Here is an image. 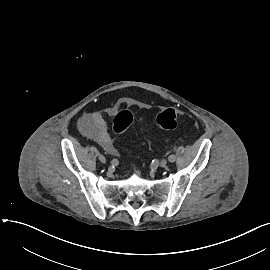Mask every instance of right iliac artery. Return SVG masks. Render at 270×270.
Returning <instances> with one entry per match:
<instances>
[{
	"label": "right iliac artery",
	"mask_w": 270,
	"mask_h": 270,
	"mask_svg": "<svg viewBox=\"0 0 270 270\" xmlns=\"http://www.w3.org/2000/svg\"><path fill=\"white\" fill-rule=\"evenodd\" d=\"M118 163H119V161L117 159L111 160L112 166H116V165H118Z\"/></svg>",
	"instance_id": "1"
}]
</instances>
